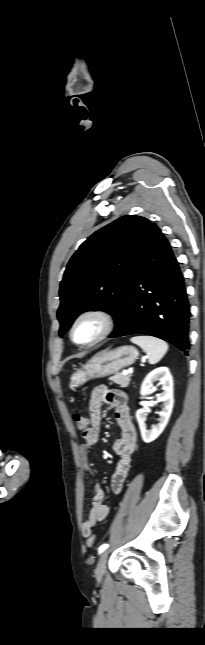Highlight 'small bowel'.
Returning <instances> with one entry per match:
<instances>
[{
  "label": "small bowel",
  "mask_w": 205,
  "mask_h": 645,
  "mask_svg": "<svg viewBox=\"0 0 205 645\" xmlns=\"http://www.w3.org/2000/svg\"><path fill=\"white\" fill-rule=\"evenodd\" d=\"M104 404L114 407L115 418L121 430V438L114 444V451L119 459L111 477V489L115 494H118L128 476L137 448V432L132 423L127 396L124 392L111 390L105 385L94 388L89 401L90 427L86 435L83 436L85 443L79 446V455L86 472L95 474L94 465L89 459V449L99 440L101 412ZM104 500L105 492L100 486L95 485L91 507L82 524V533L85 537L92 533L97 523L107 517L109 510Z\"/></svg>",
  "instance_id": "obj_1"
}]
</instances>
